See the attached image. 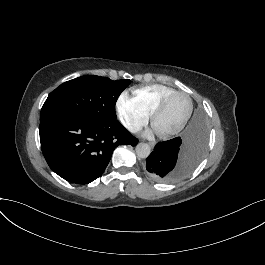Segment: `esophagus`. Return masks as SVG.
<instances>
[{"label": "esophagus", "mask_w": 265, "mask_h": 265, "mask_svg": "<svg viewBox=\"0 0 265 265\" xmlns=\"http://www.w3.org/2000/svg\"><path fill=\"white\" fill-rule=\"evenodd\" d=\"M149 145H150L151 147H154L155 143H154V142H150Z\"/></svg>", "instance_id": "esophagus-1"}]
</instances>
